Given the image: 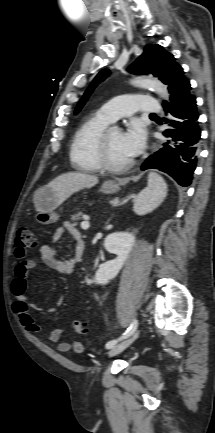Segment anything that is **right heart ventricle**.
<instances>
[{"label": "right heart ventricle", "instance_id": "right-heart-ventricle-1", "mask_svg": "<svg viewBox=\"0 0 215 433\" xmlns=\"http://www.w3.org/2000/svg\"><path fill=\"white\" fill-rule=\"evenodd\" d=\"M110 123L111 121L98 111L79 126L70 147V160L74 168L86 172L101 170L98 161V142Z\"/></svg>", "mask_w": 215, "mask_h": 433}]
</instances>
